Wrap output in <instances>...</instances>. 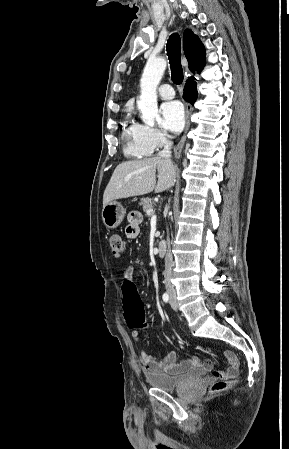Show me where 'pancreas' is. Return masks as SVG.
Returning a JSON list of instances; mask_svg holds the SVG:
<instances>
[{"label": "pancreas", "instance_id": "pancreas-1", "mask_svg": "<svg viewBox=\"0 0 289 449\" xmlns=\"http://www.w3.org/2000/svg\"><path fill=\"white\" fill-rule=\"evenodd\" d=\"M146 212L148 209H153V201L150 198H142L139 203Z\"/></svg>", "mask_w": 289, "mask_h": 449}]
</instances>
